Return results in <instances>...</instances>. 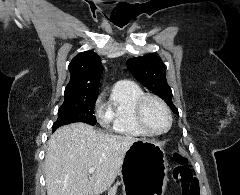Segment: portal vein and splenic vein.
I'll list each match as a JSON object with an SVG mask.
<instances>
[{
  "label": "portal vein and splenic vein",
  "mask_w": 240,
  "mask_h": 195,
  "mask_svg": "<svg viewBox=\"0 0 240 195\" xmlns=\"http://www.w3.org/2000/svg\"><path fill=\"white\" fill-rule=\"evenodd\" d=\"M88 171H89V173H94L95 167H89Z\"/></svg>",
  "instance_id": "obj_1"
}]
</instances>
